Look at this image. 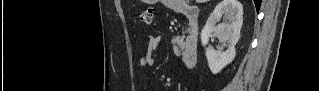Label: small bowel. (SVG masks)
<instances>
[{
  "label": "small bowel",
  "mask_w": 319,
  "mask_h": 91,
  "mask_svg": "<svg viewBox=\"0 0 319 91\" xmlns=\"http://www.w3.org/2000/svg\"><path fill=\"white\" fill-rule=\"evenodd\" d=\"M161 43L159 35H150L144 56L140 59V66L146 68L154 63V54Z\"/></svg>",
  "instance_id": "small-bowel-1"
}]
</instances>
